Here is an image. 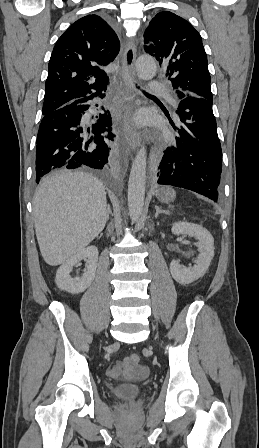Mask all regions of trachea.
Instances as JSON below:
<instances>
[{"mask_svg":"<svg viewBox=\"0 0 259 448\" xmlns=\"http://www.w3.org/2000/svg\"><path fill=\"white\" fill-rule=\"evenodd\" d=\"M136 86V88H138V89H140V87H137V85H135ZM142 91V93H148V92H145V90H141Z\"/></svg>","mask_w":259,"mask_h":448,"instance_id":"trachea-1","label":"trachea"}]
</instances>
